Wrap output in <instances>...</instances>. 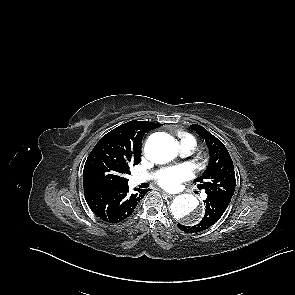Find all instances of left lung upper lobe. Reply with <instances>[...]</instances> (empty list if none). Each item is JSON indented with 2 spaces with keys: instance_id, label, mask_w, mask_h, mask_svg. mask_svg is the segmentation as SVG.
<instances>
[{
  "instance_id": "obj_1",
  "label": "left lung upper lobe",
  "mask_w": 295,
  "mask_h": 295,
  "mask_svg": "<svg viewBox=\"0 0 295 295\" xmlns=\"http://www.w3.org/2000/svg\"><path fill=\"white\" fill-rule=\"evenodd\" d=\"M193 128L205 140L210 153L207 169L196 178L198 189H205L207 196L231 199L235 190V172L233 161L224 144L204 127L194 124Z\"/></svg>"
}]
</instances>
